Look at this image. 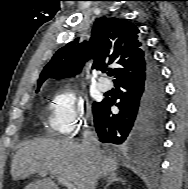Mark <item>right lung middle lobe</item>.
Wrapping results in <instances>:
<instances>
[{
	"label": "right lung middle lobe",
	"mask_w": 188,
	"mask_h": 189,
	"mask_svg": "<svg viewBox=\"0 0 188 189\" xmlns=\"http://www.w3.org/2000/svg\"><path fill=\"white\" fill-rule=\"evenodd\" d=\"M36 92H38V91H36ZM98 106H99V103H97V102L93 103V112L97 109Z\"/></svg>",
	"instance_id": "right-lung-middle-lobe-1"
}]
</instances>
